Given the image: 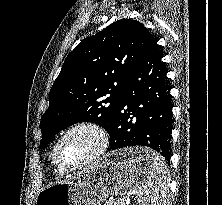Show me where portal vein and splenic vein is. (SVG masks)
Instances as JSON below:
<instances>
[{
    "label": "portal vein and splenic vein",
    "instance_id": "portal-vein-and-splenic-vein-1",
    "mask_svg": "<svg viewBox=\"0 0 222 205\" xmlns=\"http://www.w3.org/2000/svg\"><path fill=\"white\" fill-rule=\"evenodd\" d=\"M135 194H137V191L136 190H133V191H131L130 193H129V196L130 195H135ZM122 200V199H121ZM123 202H124V200H122Z\"/></svg>",
    "mask_w": 222,
    "mask_h": 205
}]
</instances>
